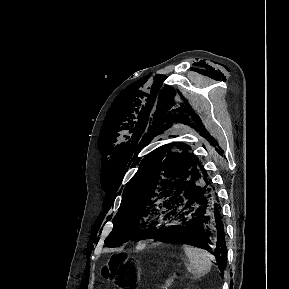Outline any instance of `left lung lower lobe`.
Here are the masks:
<instances>
[{
  "label": "left lung lower lobe",
  "instance_id": "left-lung-lower-lobe-1",
  "mask_svg": "<svg viewBox=\"0 0 289 289\" xmlns=\"http://www.w3.org/2000/svg\"><path fill=\"white\" fill-rule=\"evenodd\" d=\"M220 211L216 190L209 177L200 183L188 184L170 202L163 224L142 239L190 237L195 241L194 246L205 249L216 257L223 273L227 248Z\"/></svg>",
  "mask_w": 289,
  "mask_h": 289
}]
</instances>
